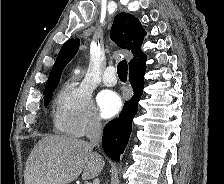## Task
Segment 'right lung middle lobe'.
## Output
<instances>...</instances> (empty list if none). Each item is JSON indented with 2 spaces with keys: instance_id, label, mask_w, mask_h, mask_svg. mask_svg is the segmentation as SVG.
<instances>
[{
  "instance_id": "right-lung-middle-lobe-1",
  "label": "right lung middle lobe",
  "mask_w": 224,
  "mask_h": 184,
  "mask_svg": "<svg viewBox=\"0 0 224 184\" xmlns=\"http://www.w3.org/2000/svg\"><path fill=\"white\" fill-rule=\"evenodd\" d=\"M53 91L45 92V97H44V105L45 106H47L49 104V101L51 99V96H52Z\"/></svg>"
}]
</instances>
